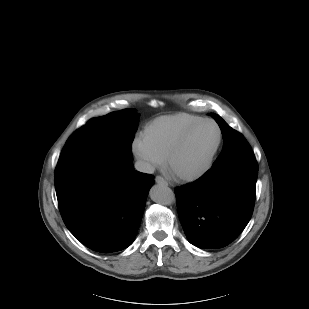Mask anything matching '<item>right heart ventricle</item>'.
Instances as JSON below:
<instances>
[{"instance_id":"right-heart-ventricle-1","label":"right heart ventricle","mask_w":309,"mask_h":309,"mask_svg":"<svg viewBox=\"0 0 309 309\" xmlns=\"http://www.w3.org/2000/svg\"><path fill=\"white\" fill-rule=\"evenodd\" d=\"M202 119V117L185 113L162 116L145 127L143 138L154 152L165 159L180 135Z\"/></svg>"}]
</instances>
